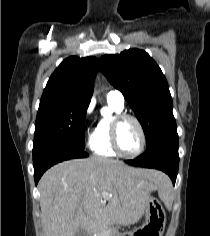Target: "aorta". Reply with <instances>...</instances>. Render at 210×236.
Returning <instances> with one entry per match:
<instances>
[{"mask_svg": "<svg viewBox=\"0 0 210 236\" xmlns=\"http://www.w3.org/2000/svg\"><path fill=\"white\" fill-rule=\"evenodd\" d=\"M103 111L106 112V113H110L109 109H103Z\"/></svg>", "mask_w": 210, "mask_h": 236, "instance_id": "1", "label": "aorta"}]
</instances>
